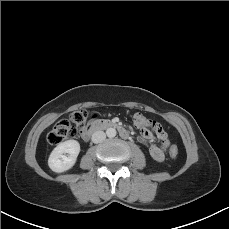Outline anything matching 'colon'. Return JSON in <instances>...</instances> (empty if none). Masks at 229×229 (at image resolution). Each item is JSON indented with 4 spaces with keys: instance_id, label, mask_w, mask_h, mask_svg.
I'll use <instances>...</instances> for the list:
<instances>
[{
    "instance_id": "obj_1",
    "label": "colon",
    "mask_w": 229,
    "mask_h": 229,
    "mask_svg": "<svg viewBox=\"0 0 229 229\" xmlns=\"http://www.w3.org/2000/svg\"><path fill=\"white\" fill-rule=\"evenodd\" d=\"M87 115L88 114L85 110L72 111L67 120H62L55 124L48 135V142L52 145H57L66 139L75 138L79 132V128L84 125ZM134 123L140 128L151 126L153 129L157 130L159 127L158 123L153 122L140 114L134 116ZM169 155L172 159H176L178 157L179 150L176 145L170 146Z\"/></svg>"
}]
</instances>
